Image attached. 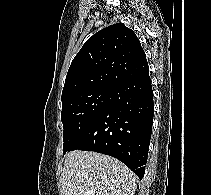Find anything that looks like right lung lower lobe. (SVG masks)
<instances>
[{
	"label": "right lung lower lobe",
	"mask_w": 211,
	"mask_h": 195,
	"mask_svg": "<svg viewBox=\"0 0 211 195\" xmlns=\"http://www.w3.org/2000/svg\"><path fill=\"white\" fill-rule=\"evenodd\" d=\"M153 113V91L148 72L112 87L105 108L67 151L78 149L110 155L142 179Z\"/></svg>",
	"instance_id": "1"
}]
</instances>
